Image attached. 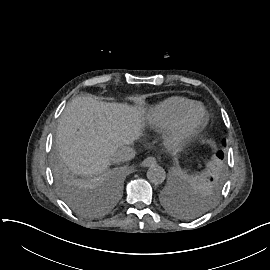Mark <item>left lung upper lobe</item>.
<instances>
[{
  "label": "left lung upper lobe",
  "mask_w": 270,
  "mask_h": 270,
  "mask_svg": "<svg viewBox=\"0 0 270 270\" xmlns=\"http://www.w3.org/2000/svg\"><path fill=\"white\" fill-rule=\"evenodd\" d=\"M223 144H224V146L226 145V141H225V140H224ZM217 156H218L220 159H222V158H223V152H222V151L218 152ZM211 181H212V178H211Z\"/></svg>",
  "instance_id": "obj_1"
}]
</instances>
